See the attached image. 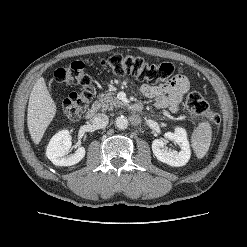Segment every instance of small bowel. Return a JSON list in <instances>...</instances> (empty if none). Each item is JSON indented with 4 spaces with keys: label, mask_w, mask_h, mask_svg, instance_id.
Instances as JSON below:
<instances>
[{
    "label": "small bowel",
    "mask_w": 247,
    "mask_h": 247,
    "mask_svg": "<svg viewBox=\"0 0 247 247\" xmlns=\"http://www.w3.org/2000/svg\"><path fill=\"white\" fill-rule=\"evenodd\" d=\"M189 86L188 78L179 74L160 85L143 84L140 90L145 97L155 100L154 105L157 109H169L172 112H177Z\"/></svg>",
    "instance_id": "c3829d8e"
}]
</instances>
